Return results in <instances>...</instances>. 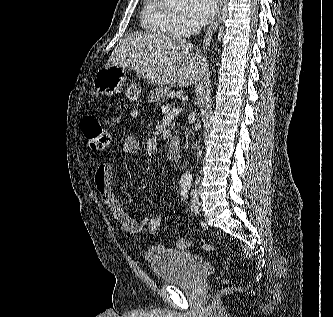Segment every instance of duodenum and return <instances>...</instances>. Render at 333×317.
<instances>
[{"label":"duodenum","mask_w":333,"mask_h":317,"mask_svg":"<svg viewBox=\"0 0 333 317\" xmlns=\"http://www.w3.org/2000/svg\"><path fill=\"white\" fill-rule=\"evenodd\" d=\"M181 141L178 137H173L167 144L166 155L170 161H178L181 157Z\"/></svg>","instance_id":"410a0bca"}]
</instances>
